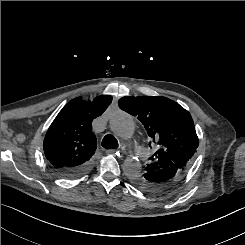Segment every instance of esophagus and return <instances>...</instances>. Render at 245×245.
<instances>
[{
    "label": "esophagus",
    "instance_id": "34e87169",
    "mask_svg": "<svg viewBox=\"0 0 245 245\" xmlns=\"http://www.w3.org/2000/svg\"><path fill=\"white\" fill-rule=\"evenodd\" d=\"M106 153L108 155H115L117 152L115 150L110 149V150H107Z\"/></svg>",
    "mask_w": 245,
    "mask_h": 245
}]
</instances>
